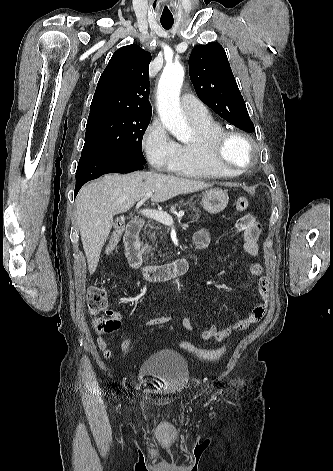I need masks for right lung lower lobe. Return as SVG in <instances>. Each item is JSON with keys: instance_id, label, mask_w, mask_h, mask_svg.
Instances as JSON below:
<instances>
[{"instance_id": "98d812e1", "label": "right lung lower lobe", "mask_w": 333, "mask_h": 471, "mask_svg": "<svg viewBox=\"0 0 333 471\" xmlns=\"http://www.w3.org/2000/svg\"><path fill=\"white\" fill-rule=\"evenodd\" d=\"M143 164L115 158L111 156H90L80 158L76 171V187L74 196L80 188L88 181L96 179L107 173H130L142 170Z\"/></svg>"}]
</instances>
